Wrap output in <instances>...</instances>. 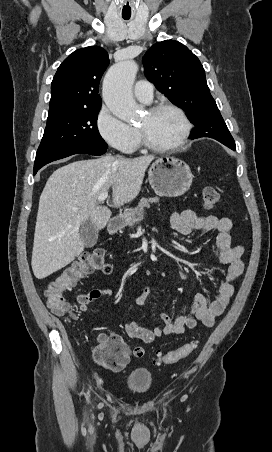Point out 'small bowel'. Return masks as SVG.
Returning <instances> with one entry per match:
<instances>
[{
	"label": "small bowel",
	"mask_w": 272,
	"mask_h": 452,
	"mask_svg": "<svg viewBox=\"0 0 272 452\" xmlns=\"http://www.w3.org/2000/svg\"><path fill=\"white\" fill-rule=\"evenodd\" d=\"M170 224L174 231L183 236H189L194 231L204 233L217 232L216 256L220 263L228 265V272L215 298L209 301L203 294L196 295L194 304L188 314L170 316L161 313L162 325L155 328L142 326L134 320L125 324L124 330L128 337L139 339L147 344L152 343L159 337L182 334L187 329L195 328L198 322L205 326H212L215 318L223 313L227 307L235 292V282L243 274L245 268L242 259L245 252L244 247L242 245H232L231 231L233 222L230 218L201 215L194 210H185L181 213L173 211L170 215ZM151 293V286L144 287L136 298L135 306H144ZM111 295L112 291L109 288H96L88 293H80L76 296L79 311L82 313L88 312L92 302ZM133 308L134 306H131L130 310ZM66 319L68 321H76L78 316L76 313L70 312ZM104 336L108 335L100 334L98 340ZM111 336L121 339L120 335L114 332L111 333Z\"/></svg>",
	"instance_id": "small-bowel-1"
}]
</instances>
